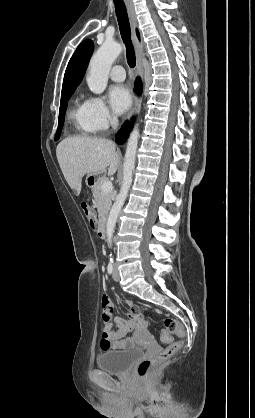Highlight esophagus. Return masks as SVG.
Listing matches in <instances>:
<instances>
[{
  "mask_svg": "<svg viewBox=\"0 0 255 418\" xmlns=\"http://www.w3.org/2000/svg\"><path fill=\"white\" fill-rule=\"evenodd\" d=\"M126 2V6L128 9V14H129V19H130V24H131V32H132V39L135 45V51H136V56H137V65H136V70H137V74L142 77L143 75V59H144V49H143V44L141 42H139L137 36H136V27H137V20H136V14L134 11V6L132 4V2L130 0H125ZM140 104L141 101L138 97L135 98V102H134V106L132 111L130 112V114L128 115V119H130L133 114L139 110L140 108Z\"/></svg>",
  "mask_w": 255,
  "mask_h": 418,
  "instance_id": "obj_1",
  "label": "esophagus"
}]
</instances>
